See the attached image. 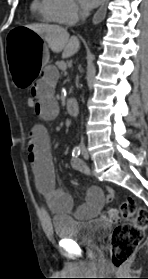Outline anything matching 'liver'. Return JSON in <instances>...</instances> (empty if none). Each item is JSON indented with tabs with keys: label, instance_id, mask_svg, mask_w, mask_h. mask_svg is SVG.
I'll return each mask as SVG.
<instances>
[{
	"label": "liver",
	"instance_id": "1",
	"mask_svg": "<svg viewBox=\"0 0 148 279\" xmlns=\"http://www.w3.org/2000/svg\"><path fill=\"white\" fill-rule=\"evenodd\" d=\"M26 28L34 31L48 43L49 48L55 52H62V58H68L76 54L80 49L77 37L70 38L66 29L58 25L32 24Z\"/></svg>",
	"mask_w": 148,
	"mask_h": 279
}]
</instances>
